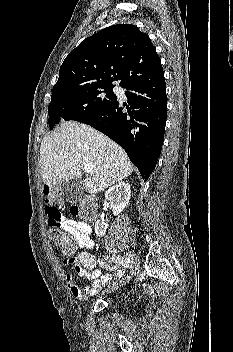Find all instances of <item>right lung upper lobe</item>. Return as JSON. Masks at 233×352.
Returning a JSON list of instances; mask_svg holds the SVG:
<instances>
[{"instance_id": "right-lung-upper-lobe-1", "label": "right lung upper lobe", "mask_w": 233, "mask_h": 352, "mask_svg": "<svg viewBox=\"0 0 233 352\" xmlns=\"http://www.w3.org/2000/svg\"><path fill=\"white\" fill-rule=\"evenodd\" d=\"M163 73L160 58L149 36L135 25L117 24L83 40L65 58L52 91L83 86L121 87Z\"/></svg>"}]
</instances>
